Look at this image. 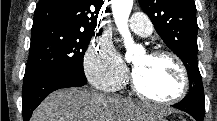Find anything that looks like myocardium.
Instances as JSON below:
<instances>
[{
  "label": "myocardium",
  "mask_w": 217,
  "mask_h": 121,
  "mask_svg": "<svg viewBox=\"0 0 217 121\" xmlns=\"http://www.w3.org/2000/svg\"><path fill=\"white\" fill-rule=\"evenodd\" d=\"M148 56L152 58H162V57L169 58L179 71L180 87L178 91L170 98L159 99L144 92L139 86L133 72H131L130 81H131V87L133 92L142 100L154 104H159V105H171L182 100L188 93L189 86H190V79H189L187 68L183 63V61L180 59V57H178L175 53L169 50H155L149 53Z\"/></svg>",
  "instance_id": "f54148a6"
}]
</instances>
